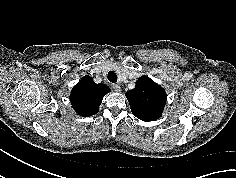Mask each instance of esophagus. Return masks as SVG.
Instances as JSON below:
<instances>
[{"label":"esophagus","instance_id":"1","mask_svg":"<svg viewBox=\"0 0 236 178\" xmlns=\"http://www.w3.org/2000/svg\"><path fill=\"white\" fill-rule=\"evenodd\" d=\"M112 88H113V90L116 91V92H120V91H121V87H120L118 84H113V85H112Z\"/></svg>","mask_w":236,"mask_h":178}]
</instances>
